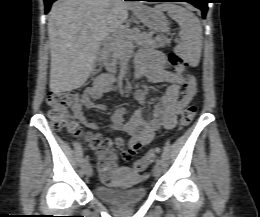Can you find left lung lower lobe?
Segmentation results:
<instances>
[{
    "label": "left lung lower lobe",
    "instance_id": "1",
    "mask_svg": "<svg viewBox=\"0 0 260 217\" xmlns=\"http://www.w3.org/2000/svg\"><path fill=\"white\" fill-rule=\"evenodd\" d=\"M140 1V0H138ZM142 1H155V2H176V1H183L193 4L195 7L202 10V15L205 18L207 9H208V0H142Z\"/></svg>",
    "mask_w": 260,
    "mask_h": 217
}]
</instances>
